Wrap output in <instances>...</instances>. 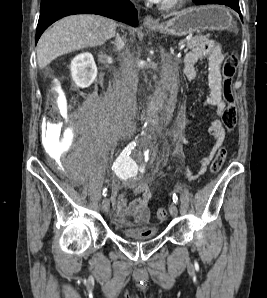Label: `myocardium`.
<instances>
[{
    "label": "myocardium",
    "instance_id": "f54148a6",
    "mask_svg": "<svg viewBox=\"0 0 267 298\" xmlns=\"http://www.w3.org/2000/svg\"><path fill=\"white\" fill-rule=\"evenodd\" d=\"M187 0H169L161 1L159 8L164 11H174L179 9Z\"/></svg>",
    "mask_w": 267,
    "mask_h": 298
}]
</instances>
